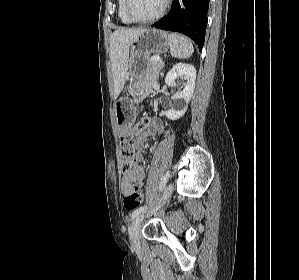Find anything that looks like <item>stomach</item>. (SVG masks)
Masks as SVG:
<instances>
[{"label":"stomach","instance_id":"obj_1","mask_svg":"<svg viewBox=\"0 0 299 280\" xmlns=\"http://www.w3.org/2000/svg\"><path fill=\"white\" fill-rule=\"evenodd\" d=\"M168 48V35L156 29H147L130 44V58L126 75L130 94L120 98L115 109L117 121L121 127L130 125L134 121L135 105L145 89L142 87V81L150 55L164 53Z\"/></svg>","mask_w":299,"mask_h":280}]
</instances>
